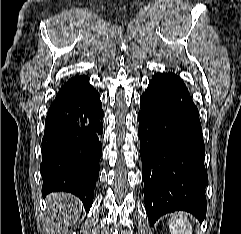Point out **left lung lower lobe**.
Returning a JSON list of instances; mask_svg holds the SVG:
<instances>
[{
    "mask_svg": "<svg viewBox=\"0 0 241 234\" xmlns=\"http://www.w3.org/2000/svg\"><path fill=\"white\" fill-rule=\"evenodd\" d=\"M138 114L144 201L151 225L184 210L206 216L205 145L199 114L184 82L173 73L152 76Z\"/></svg>",
    "mask_w": 241,
    "mask_h": 234,
    "instance_id": "1",
    "label": "left lung lower lobe"
}]
</instances>
